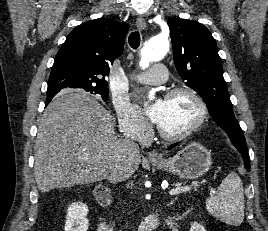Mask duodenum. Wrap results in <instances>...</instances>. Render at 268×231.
Here are the masks:
<instances>
[{
	"label": "duodenum",
	"mask_w": 268,
	"mask_h": 231,
	"mask_svg": "<svg viewBox=\"0 0 268 231\" xmlns=\"http://www.w3.org/2000/svg\"><path fill=\"white\" fill-rule=\"evenodd\" d=\"M96 198L104 205L108 204L111 200V192L107 188L99 189L95 193ZM159 224L157 214H149L144 222L135 231H153ZM97 231H116V227L113 224L102 220L97 228Z\"/></svg>",
	"instance_id": "410a0bca"
}]
</instances>
